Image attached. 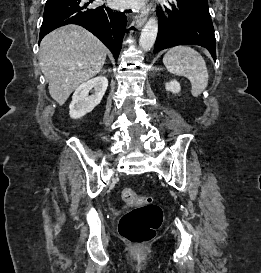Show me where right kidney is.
Here are the masks:
<instances>
[{
  "instance_id": "obj_1",
  "label": "right kidney",
  "mask_w": 261,
  "mask_h": 273,
  "mask_svg": "<svg viewBox=\"0 0 261 273\" xmlns=\"http://www.w3.org/2000/svg\"><path fill=\"white\" fill-rule=\"evenodd\" d=\"M108 86L105 76H98L82 83L74 92L69 106V115L73 119H80L91 112L102 100ZM94 89V94L89 92Z\"/></svg>"
}]
</instances>
